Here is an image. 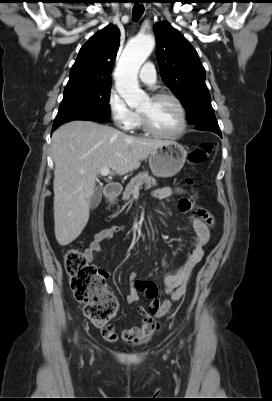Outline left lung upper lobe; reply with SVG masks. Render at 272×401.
I'll return each instance as SVG.
<instances>
[{"mask_svg":"<svg viewBox=\"0 0 272 401\" xmlns=\"http://www.w3.org/2000/svg\"><path fill=\"white\" fill-rule=\"evenodd\" d=\"M154 33L161 78L186 109L187 121L195 125L216 120L196 50L167 22H158Z\"/></svg>","mask_w":272,"mask_h":401,"instance_id":"left-lung-upper-lobe-1","label":"left lung upper lobe"}]
</instances>
